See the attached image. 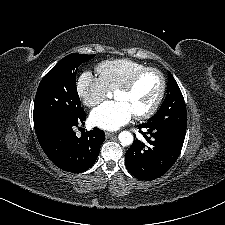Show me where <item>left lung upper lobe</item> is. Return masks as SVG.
<instances>
[{
	"mask_svg": "<svg viewBox=\"0 0 225 225\" xmlns=\"http://www.w3.org/2000/svg\"><path fill=\"white\" fill-rule=\"evenodd\" d=\"M147 123H152L154 125H171L186 129V105L180 88L170 72H168L166 98L159 111L151 117Z\"/></svg>",
	"mask_w": 225,
	"mask_h": 225,
	"instance_id": "5c2ea615",
	"label": "left lung upper lobe"
}]
</instances>
